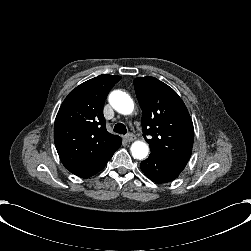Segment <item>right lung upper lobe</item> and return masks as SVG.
<instances>
[{
	"mask_svg": "<svg viewBox=\"0 0 251 251\" xmlns=\"http://www.w3.org/2000/svg\"><path fill=\"white\" fill-rule=\"evenodd\" d=\"M120 76L100 75L74 90L63 101L54 125V142L61 162L71 173L89 178L102 170L122 144L107 132L103 106Z\"/></svg>",
	"mask_w": 251,
	"mask_h": 251,
	"instance_id": "obj_1",
	"label": "right lung upper lobe"
}]
</instances>
